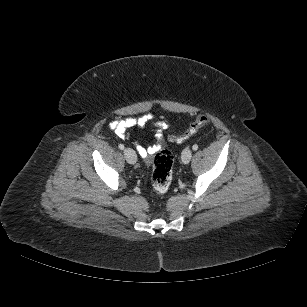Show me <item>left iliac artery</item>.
I'll list each match as a JSON object with an SVG mask.
<instances>
[{
	"mask_svg": "<svg viewBox=\"0 0 307 307\" xmlns=\"http://www.w3.org/2000/svg\"><path fill=\"white\" fill-rule=\"evenodd\" d=\"M192 149L194 150V151H196L197 149H198V145H193V147H192Z\"/></svg>",
	"mask_w": 307,
	"mask_h": 307,
	"instance_id": "44dca946",
	"label": "left iliac artery"
}]
</instances>
